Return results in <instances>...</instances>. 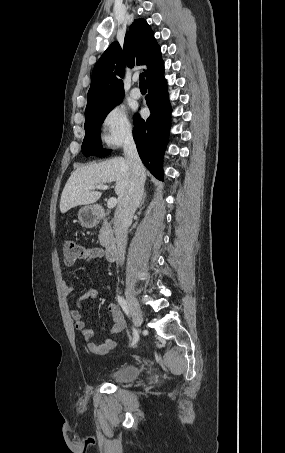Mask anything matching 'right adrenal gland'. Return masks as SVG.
Instances as JSON below:
<instances>
[{
	"label": "right adrenal gland",
	"instance_id": "2a0ac1e0",
	"mask_svg": "<svg viewBox=\"0 0 285 453\" xmlns=\"http://www.w3.org/2000/svg\"><path fill=\"white\" fill-rule=\"evenodd\" d=\"M145 198H146V193L143 194V198H142V200H141V202L139 204V208H141L142 205L144 204Z\"/></svg>",
	"mask_w": 285,
	"mask_h": 453
}]
</instances>
